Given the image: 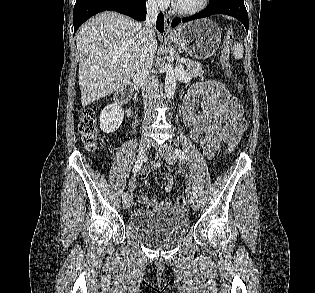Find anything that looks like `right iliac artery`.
I'll list each match as a JSON object with an SVG mask.
<instances>
[{
	"label": "right iliac artery",
	"mask_w": 315,
	"mask_h": 293,
	"mask_svg": "<svg viewBox=\"0 0 315 293\" xmlns=\"http://www.w3.org/2000/svg\"><path fill=\"white\" fill-rule=\"evenodd\" d=\"M143 160H144V154L139 153V156L137 158V161H136V163L133 167V171H132L134 174H136L141 169V166L143 164ZM127 197H128L127 193H124L122 195L123 200L127 199Z\"/></svg>",
	"instance_id": "82829eb1"
}]
</instances>
